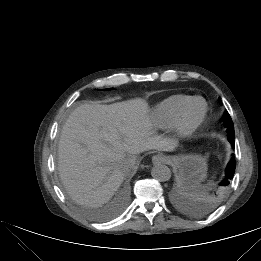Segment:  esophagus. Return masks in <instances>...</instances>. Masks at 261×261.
Segmentation results:
<instances>
[{
    "label": "esophagus",
    "mask_w": 261,
    "mask_h": 261,
    "mask_svg": "<svg viewBox=\"0 0 261 261\" xmlns=\"http://www.w3.org/2000/svg\"><path fill=\"white\" fill-rule=\"evenodd\" d=\"M165 161V157L162 154H156L152 157L153 164H160Z\"/></svg>",
    "instance_id": "34e87169"
}]
</instances>
